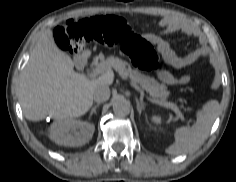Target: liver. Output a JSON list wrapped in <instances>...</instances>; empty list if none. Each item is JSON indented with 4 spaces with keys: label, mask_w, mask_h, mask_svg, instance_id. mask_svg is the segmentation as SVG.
Here are the masks:
<instances>
[{
    "label": "liver",
    "mask_w": 236,
    "mask_h": 182,
    "mask_svg": "<svg viewBox=\"0 0 236 182\" xmlns=\"http://www.w3.org/2000/svg\"><path fill=\"white\" fill-rule=\"evenodd\" d=\"M73 68L70 56L55 43L53 32L45 30L20 77L19 101L26 119L80 117L91 108L96 86L113 83L114 74L110 69L97 79L89 80Z\"/></svg>",
    "instance_id": "liver-1"
}]
</instances>
